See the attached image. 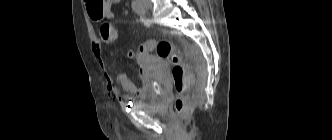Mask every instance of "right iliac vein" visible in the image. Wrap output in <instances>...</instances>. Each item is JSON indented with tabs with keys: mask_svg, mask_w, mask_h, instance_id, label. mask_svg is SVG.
<instances>
[{
	"mask_svg": "<svg viewBox=\"0 0 332 140\" xmlns=\"http://www.w3.org/2000/svg\"><path fill=\"white\" fill-rule=\"evenodd\" d=\"M138 1L145 9H150L152 7V3L150 0H138Z\"/></svg>",
	"mask_w": 332,
	"mask_h": 140,
	"instance_id": "right-iliac-vein-1",
	"label": "right iliac vein"
}]
</instances>
